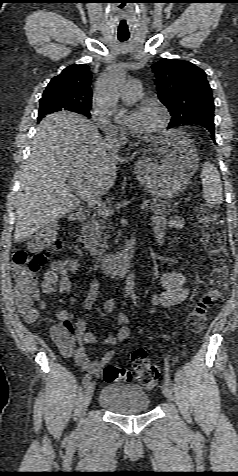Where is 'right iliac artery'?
I'll return each instance as SVG.
<instances>
[{
  "instance_id": "right-iliac-artery-1",
  "label": "right iliac artery",
  "mask_w": 238,
  "mask_h": 476,
  "mask_svg": "<svg viewBox=\"0 0 238 476\" xmlns=\"http://www.w3.org/2000/svg\"><path fill=\"white\" fill-rule=\"evenodd\" d=\"M90 380H91V375L88 373V374H86V375L84 376V378H83V384H84V386H86V385L90 382Z\"/></svg>"
}]
</instances>
